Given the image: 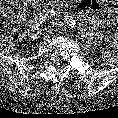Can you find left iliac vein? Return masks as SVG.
<instances>
[{"mask_svg": "<svg viewBox=\"0 0 118 118\" xmlns=\"http://www.w3.org/2000/svg\"><path fill=\"white\" fill-rule=\"evenodd\" d=\"M57 25L60 26L64 30L63 24L61 22H58Z\"/></svg>", "mask_w": 118, "mask_h": 118, "instance_id": "1", "label": "left iliac vein"}]
</instances>
